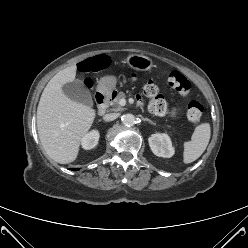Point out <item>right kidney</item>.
Here are the masks:
<instances>
[{
  "label": "right kidney",
  "mask_w": 248,
  "mask_h": 248,
  "mask_svg": "<svg viewBox=\"0 0 248 248\" xmlns=\"http://www.w3.org/2000/svg\"><path fill=\"white\" fill-rule=\"evenodd\" d=\"M99 136L100 135L97 130H92L87 133L81 141L82 147L86 150L94 148L98 143Z\"/></svg>",
  "instance_id": "ca27d5eb"
}]
</instances>
